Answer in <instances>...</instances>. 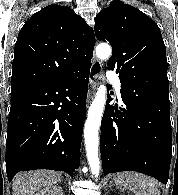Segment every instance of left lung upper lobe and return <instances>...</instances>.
Wrapping results in <instances>:
<instances>
[{
  "instance_id": "5c2ea615",
  "label": "left lung upper lobe",
  "mask_w": 178,
  "mask_h": 195,
  "mask_svg": "<svg viewBox=\"0 0 178 195\" xmlns=\"http://www.w3.org/2000/svg\"><path fill=\"white\" fill-rule=\"evenodd\" d=\"M94 30L98 40L112 45L108 69L116 70L123 89L170 104L166 48L152 19L115 0L96 16Z\"/></svg>"
}]
</instances>
